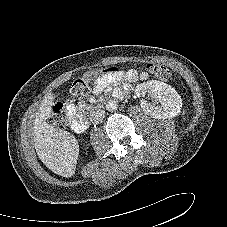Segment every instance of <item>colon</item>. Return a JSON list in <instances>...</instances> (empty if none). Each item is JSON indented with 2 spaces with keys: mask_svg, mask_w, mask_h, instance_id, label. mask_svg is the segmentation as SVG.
<instances>
[{
  "mask_svg": "<svg viewBox=\"0 0 227 227\" xmlns=\"http://www.w3.org/2000/svg\"><path fill=\"white\" fill-rule=\"evenodd\" d=\"M117 70L118 69L115 67L91 70L78 77L73 82L70 89L71 93L75 96H83L89 91L90 83L95 77L99 75H111ZM146 70L160 80L167 81L171 79L170 71L162 65L156 63H148L146 65ZM49 120L54 125L61 126L64 124L65 112L61 104H57L53 107Z\"/></svg>",
  "mask_w": 227,
  "mask_h": 227,
  "instance_id": "5ec220e1",
  "label": "colon"
}]
</instances>
